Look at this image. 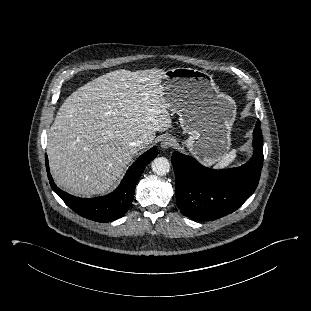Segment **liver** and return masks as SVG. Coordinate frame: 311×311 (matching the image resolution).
Returning a JSON list of instances; mask_svg holds the SVG:
<instances>
[{
    "label": "liver",
    "mask_w": 311,
    "mask_h": 311,
    "mask_svg": "<svg viewBox=\"0 0 311 311\" xmlns=\"http://www.w3.org/2000/svg\"><path fill=\"white\" fill-rule=\"evenodd\" d=\"M163 69L115 70L89 81L61 105L48 131L55 183L76 196L109 191L157 131L172 127L163 101ZM147 142L139 148L130 143Z\"/></svg>",
    "instance_id": "obj_1"
}]
</instances>
